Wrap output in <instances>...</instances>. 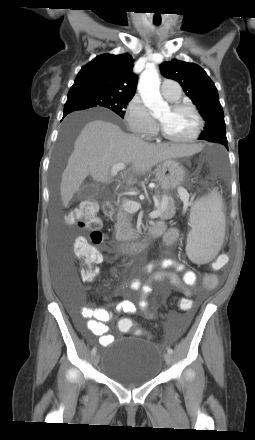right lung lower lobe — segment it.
Segmentation results:
<instances>
[{"mask_svg":"<svg viewBox=\"0 0 255 440\" xmlns=\"http://www.w3.org/2000/svg\"><path fill=\"white\" fill-rule=\"evenodd\" d=\"M67 114H68V113L65 112V113L63 114V118H64Z\"/></svg>","mask_w":255,"mask_h":440,"instance_id":"1","label":"right lung lower lobe"}]
</instances>
